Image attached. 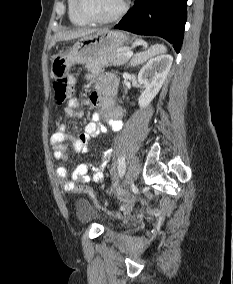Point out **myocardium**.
I'll return each instance as SVG.
<instances>
[{
	"mask_svg": "<svg viewBox=\"0 0 233 284\" xmlns=\"http://www.w3.org/2000/svg\"><path fill=\"white\" fill-rule=\"evenodd\" d=\"M86 0H78L77 9L83 19L92 24L112 23L121 18L128 9V0H123L121 8L112 16L107 18H98L93 16L87 9Z\"/></svg>",
	"mask_w": 233,
	"mask_h": 284,
	"instance_id": "myocardium-1",
	"label": "myocardium"
}]
</instances>
